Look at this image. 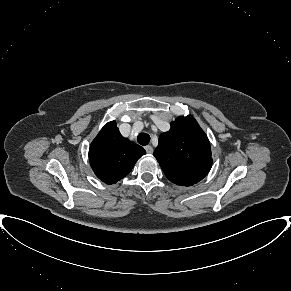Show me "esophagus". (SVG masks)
I'll use <instances>...</instances> for the list:
<instances>
[{
	"label": "esophagus",
	"instance_id": "1",
	"mask_svg": "<svg viewBox=\"0 0 291 291\" xmlns=\"http://www.w3.org/2000/svg\"><path fill=\"white\" fill-rule=\"evenodd\" d=\"M145 150H146V152H147L148 154H151V153L153 152V148H152L151 145H147V146H145Z\"/></svg>",
	"mask_w": 291,
	"mask_h": 291
}]
</instances>
